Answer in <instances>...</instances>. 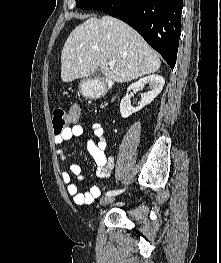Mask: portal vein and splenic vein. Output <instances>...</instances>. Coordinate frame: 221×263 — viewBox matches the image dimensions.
<instances>
[{"instance_id":"1","label":"portal vein and splenic vein","mask_w":221,"mask_h":263,"mask_svg":"<svg viewBox=\"0 0 221 263\" xmlns=\"http://www.w3.org/2000/svg\"><path fill=\"white\" fill-rule=\"evenodd\" d=\"M108 65H109L110 67L115 66V61L109 60Z\"/></svg>"}]
</instances>
